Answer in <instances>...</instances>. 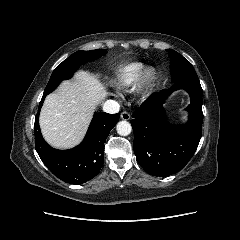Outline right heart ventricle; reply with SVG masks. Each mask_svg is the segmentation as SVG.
Listing matches in <instances>:
<instances>
[{"label":"right heart ventricle","mask_w":240,"mask_h":240,"mask_svg":"<svg viewBox=\"0 0 240 240\" xmlns=\"http://www.w3.org/2000/svg\"><path fill=\"white\" fill-rule=\"evenodd\" d=\"M143 64L140 62H132L118 67L113 76V81L118 89H127L139 77L142 72Z\"/></svg>","instance_id":"1"}]
</instances>
